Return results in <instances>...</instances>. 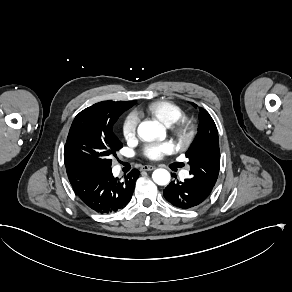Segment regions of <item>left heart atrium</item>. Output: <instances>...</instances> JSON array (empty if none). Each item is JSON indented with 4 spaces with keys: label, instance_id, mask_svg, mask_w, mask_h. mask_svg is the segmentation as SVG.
Segmentation results:
<instances>
[{
    "label": "left heart atrium",
    "instance_id": "obj_1",
    "mask_svg": "<svg viewBox=\"0 0 292 292\" xmlns=\"http://www.w3.org/2000/svg\"><path fill=\"white\" fill-rule=\"evenodd\" d=\"M174 151L175 145L172 142L163 141L149 144L144 150V155L150 160L157 161Z\"/></svg>",
    "mask_w": 292,
    "mask_h": 292
}]
</instances>
